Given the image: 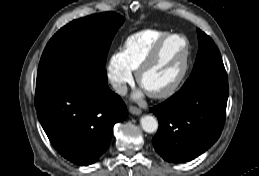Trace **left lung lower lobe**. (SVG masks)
I'll use <instances>...</instances> for the list:
<instances>
[{
	"instance_id": "0a47b994",
	"label": "left lung lower lobe",
	"mask_w": 259,
	"mask_h": 176,
	"mask_svg": "<svg viewBox=\"0 0 259 176\" xmlns=\"http://www.w3.org/2000/svg\"><path fill=\"white\" fill-rule=\"evenodd\" d=\"M228 94V82L203 79L151 108L159 121L156 152L168 162L183 163L209 149L222 132Z\"/></svg>"
}]
</instances>
